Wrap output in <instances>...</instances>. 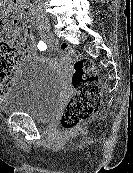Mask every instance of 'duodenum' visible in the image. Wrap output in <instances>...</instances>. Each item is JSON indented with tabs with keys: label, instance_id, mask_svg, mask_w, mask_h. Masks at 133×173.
<instances>
[{
	"label": "duodenum",
	"instance_id": "410a0bca",
	"mask_svg": "<svg viewBox=\"0 0 133 173\" xmlns=\"http://www.w3.org/2000/svg\"><path fill=\"white\" fill-rule=\"evenodd\" d=\"M14 2H16L19 6H20V9L22 11V14L30 19L31 18V15H32V8L31 6L25 2V0H13Z\"/></svg>",
	"mask_w": 133,
	"mask_h": 173
}]
</instances>
